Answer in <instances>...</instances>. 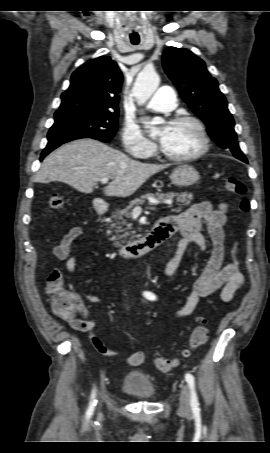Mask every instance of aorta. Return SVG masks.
Masks as SVG:
<instances>
[{
    "label": "aorta",
    "mask_w": 270,
    "mask_h": 453,
    "mask_svg": "<svg viewBox=\"0 0 270 453\" xmlns=\"http://www.w3.org/2000/svg\"><path fill=\"white\" fill-rule=\"evenodd\" d=\"M160 83L159 75L152 66H146L137 76L132 88V95L139 105H143L152 96ZM154 123H162L163 119L157 117Z\"/></svg>",
    "instance_id": "762f6f07"
}]
</instances>
